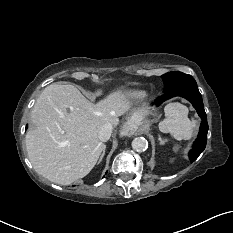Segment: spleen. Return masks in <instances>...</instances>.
Segmentation results:
<instances>
[{
    "label": "spleen",
    "mask_w": 233,
    "mask_h": 233,
    "mask_svg": "<svg viewBox=\"0 0 233 233\" xmlns=\"http://www.w3.org/2000/svg\"><path fill=\"white\" fill-rule=\"evenodd\" d=\"M165 119L159 123V130L170 133L176 140H189L196 126L195 120L188 118V108L181 103H169L164 108Z\"/></svg>",
    "instance_id": "obj_1"
}]
</instances>
